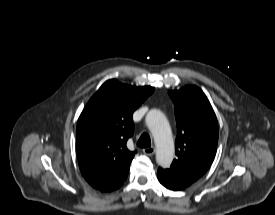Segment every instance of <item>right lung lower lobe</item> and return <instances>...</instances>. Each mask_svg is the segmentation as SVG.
Here are the masks:
<instances>
[{
	"instance_id": "1",
	"label": "right lung lower lobe",
	"mask_w": 275,
	"mask_h": 215,
	"mask_svg": "<svg viewBox=\"0 0 275 215\" xmlns=\"http://www.w3.org/2000/svg\"><path fill=\"white\" fill-rule=\"evenodd\" d=\"M124 181L120 182L116 186H113V187H110V188L99 189V190H101V191H112V190L118 189L123 184Z\"/></svg>"
}]
</instances>
